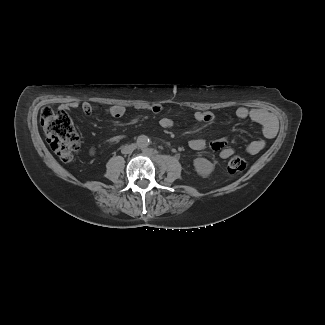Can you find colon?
<instances>
[{"label": "colon", "mask_w": 325, "mask_h": 325, "mask_svg": "<svg viewBox=\"0 0 325 325\" xmlns=\"http://www.w3.org/2000/svg\"><path fill=\"white\" fill-rule=\"evenodd\" d=\"M40 123L51 149L63 162L72 161L79 150V138L73 128L66 127L59 114L51 107L40 111ZM247 161L239 156L231 158L227 164L229 173H239L246 169Z\"/></svg>", "instance_id": "5ec220e1"}]
</instances>
